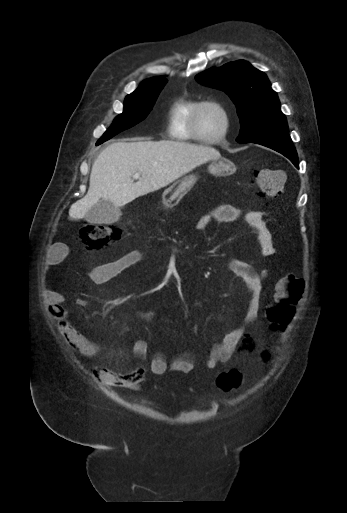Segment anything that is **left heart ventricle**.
<instances>
[{"label":"left heart ventricle","mask_w":347,"mask_h":513,"mask_svg":"<svg viewBox=\"0 0 347 513\" xmlns=\"http://www.w3.org/2000/svg\"><path fill=\"white\" fill-rule=\"evenodd\" d=\"M224 127L222 113L214 106H208L201 110L198 115V129L205 138L218 136Z\"/></svg>","instance_id":"left-heart-ventricle-1"}]
</instances>
